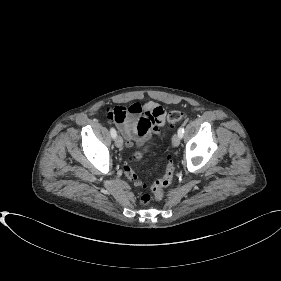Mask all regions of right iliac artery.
<instances>
[{"label": "right iliac artery", "mask_w": 281, "mask_h": 281, "mask_svg": "<svg viewBox=\"0 0 281 281\" xmlns=\"http://www.w3.org/2000/svg\"><path fill=\"white\" fill-rule=\"evenodd\" d=\"M110 133H111L112 138H115L117 136V132L114 128L110 129Z\"/></svg>", "instance_id": "right-iliac-artery-1"}]
</instances>
